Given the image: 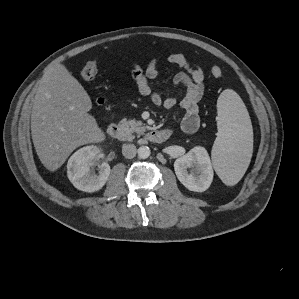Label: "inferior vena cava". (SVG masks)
<instances>
[{
    "mask_svg": "<svg viewBox=\"0 0 299 299\" xmlns=\"http://www.w3.org/2000/svg\"><path fill=\"white\" fill-rule=\"evenodd\" d=\"M136 152L137 149L134 144H124L122 147V154L125 158L131 159L135 157Z\"/></svg>",
    "mask_w": 299,
    "mask_h": 299,
    "instance_id": "602c4592",
    "label": "inferior vena cava"
}]
</instances>
